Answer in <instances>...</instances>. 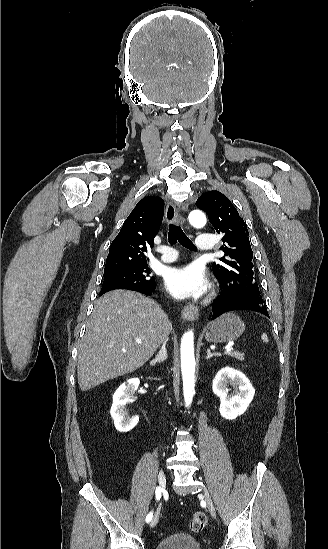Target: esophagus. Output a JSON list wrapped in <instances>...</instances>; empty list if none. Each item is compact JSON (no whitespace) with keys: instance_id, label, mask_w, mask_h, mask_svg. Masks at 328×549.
I'll return each instance as SVG.
<instances>
[{"instance_id":"1","label":"esophagus","mask_w":328,"mask_h":549,"mask_svg":"<svg viewBox=\"0 0 328 549\" xmlns=\"http://www.w3.org/2000/svg\"><path fill=\"white\" fill-rule=\"evenodd\" d=\"M166 221L169 223H180L183 222L182 217L180 216L174 203L169 202L166 207L165 212ZM199 316V309L193 304L186 305L181 311V317L185 320H196Z\"/></svg>"}]
</instances>
